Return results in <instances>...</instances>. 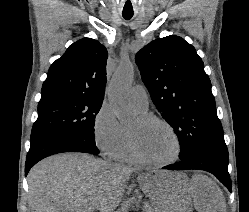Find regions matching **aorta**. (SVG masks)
Masks as SVG:
<instances>
[{"mask_svg":"<svg viewBox=\"0 0 249 212\" xmlns=\"http://www.w3.org/2000/svg\"><path fill=\"white\" fill-rule=\"evenodd\" d=\"M134 66L130 61L121 62L107 89L109 103L120 121H126L133 115L128 96L133 82Z\"/></svg>","mask_w":249,"mask_h":212,"instance_id":"aorta-1","label":"aorta"}]
</instances>
